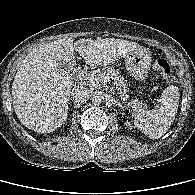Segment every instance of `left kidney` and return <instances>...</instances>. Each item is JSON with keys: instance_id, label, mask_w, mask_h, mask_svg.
<instances>
[{"instance_id": "left-kidney-1", "label": "left kidney", "mask_w": 195, "mask_h": 195, "mask_svg": "<svg viewBox=\"0 0 195 195\" xmlns=\"http://www.w3.org/2000/svg\"><path fill=\"white\" fill-rule=\"evenodd\" d=\"M126 126L129 128V129H132V126H131V123L130 122H126Z\"/></svg>"}]
</instances>
